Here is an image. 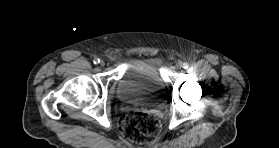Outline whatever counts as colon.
<instances>
[{"mask_svg": "<svg viewBox=\"0 0 279 148\" xmlns=\"http://www.w3.org/2000/svg\"><path fill=\"white\" fill-rule=\"evenodd\" d=\"M119 129L133 142L149 143L159 135L161 124L154 115L132 110L120 118Z\"/></svg>", "mask_w": 279, "mask_h": 148, "instance_id": "obj_1", "label": "colon"}]
</instances>
